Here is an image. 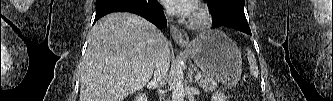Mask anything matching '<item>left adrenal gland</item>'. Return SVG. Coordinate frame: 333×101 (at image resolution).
Instances as JSON below:
<instances>
[{
  "label": "left adrenal gland",
  "mask_w": 333,
  "mask_h": 101,
  "mask_svg": "<svg viewBox=\"0 0 333 101\" xmlns=\"http://www.w3.org/2000/svg\"><path fill=\"white\" fill-rule=\"evenodd\" d=\"M192 73H193V71L191 70L190 71V82H192Z\"/></svg>",
  "instance_id": "a2214340"
}]
</instances>
